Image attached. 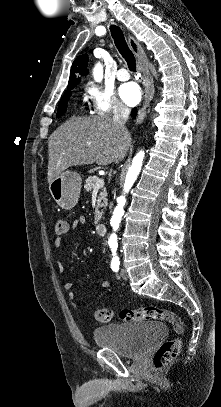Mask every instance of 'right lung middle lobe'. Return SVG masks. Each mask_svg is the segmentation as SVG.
I'll list each match as a JSON object with an SVG mask.
<instances>
[{"label": "right lung middle lobe", "instance_id": "obj_1", "mask_svg": "<svg viewBox=\"0 0 221 407\" xmlns=\"http://www.w3.org/2000/svg\"><path fill=\"white\" fill-rule=\"evenodd\" d=\"M71 90L72 89H67L65 91L64 95L62 96V98L60 100V103H59V108H58V111H57V115H56L57 117L61 116L66 111L67 103H68V100H69V98L71 96Z\"/></svg>", "mask_w": 221, "mask_h": 407}]
</instances>
